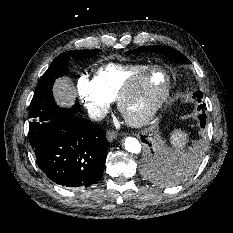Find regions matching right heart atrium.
<instances>
[{
  "label": "right heart atrium",
  "instance_id": "right-heart-atrium-1",
  "mask_svg": "<svg viewBox=\"0 0 233 233\" xmlns=\"http://www.w3.org/2000/svg\"><path fill=\"white\" fill-rule=\"evenodd\" d=\"M77 96L92 120H100L107 112L109 101L99 90L94 78L82 75L77 80Z\"/></svg>",
  "mask_w": 233,
  "mask_h": 233
}]
</instances>
